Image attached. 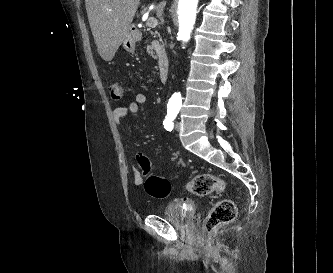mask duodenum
<instances>
[{
    "label": "duodenum",
    "mask_w": 333,
    "mask_h": 273,
    "mask_svg": "<svg viewBox=\"0 0 333 273\" xmlns=\"http://www.w3.org/2000/svg\"><path fill=\"white\" fill-rule=\"evenodd\" d=\"M132 33L134 35H139V28L135 25L131 27ZM159 67V78L161 82H166L170 70V60L167 55L160 54L158 60Z\"/></svg>",
    "instance_id": "410a0bca"
}]
</instances>
